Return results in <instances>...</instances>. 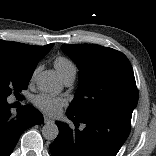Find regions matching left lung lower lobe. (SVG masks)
Returning a JSON list of instances; mask_svg holds the SVG:
<instances>
[{"label": "left lung lower lobe", "mask_w": 156, "mask_h": 156, "mask_svg": "<svg viewBox=\"0 0 156 156\" xmlns=\"http://www.w3.org/2000/svg\"><path fill=\"white\" fill-rule=\"evenodd\" d=\"M75 125L84 123L80 131L56 121L59 134L50 145L52 156H115L130 133L131 118L116 112L91 116H75L66 112Z\"/></svg>", "instance_id": "obj_1"}]
</instances>
